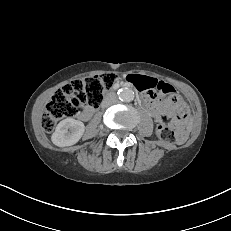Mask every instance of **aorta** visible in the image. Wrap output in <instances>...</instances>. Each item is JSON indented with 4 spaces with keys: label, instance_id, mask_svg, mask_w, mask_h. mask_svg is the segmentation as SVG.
I'll list each match as a JSON object with an SVG mask.
<instances>
[{
    "label": "aorta",
    "instance_id": "1",
    "mask_svg": "<svg viewBox=\"0 0 231 231\" xmlns=\"http://www.w3.org/2000/svg\"><path fill=\"white\" fill-rule=\"evenodd\" d=\"M118 97L123 102H131L134 99V92L129 88H122L118 92Z\"/></svg>",
    "mask_w": 231,
    "mask_h": 231
}]
</instances>
